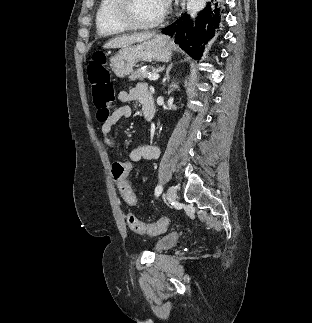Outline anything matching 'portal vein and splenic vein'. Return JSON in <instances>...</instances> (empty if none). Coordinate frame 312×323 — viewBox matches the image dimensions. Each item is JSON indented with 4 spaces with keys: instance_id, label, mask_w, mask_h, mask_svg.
<instances>
[{
    "instance_id": "obj_1",
    "label": "portal vein and splenic vein",
    "mask_w": 312,
    "mask_h": 323,
    "mask_svg": "<svg viewBox=\"0 0 312 323\" xmlns=\"http://www.w3.org/2000/svg\"><path fill=\"white\" fill-rule=\"evenodd\" d=\"M160 78L159 74H149V80H158Z\"/></svg>"
}]
</instances>
